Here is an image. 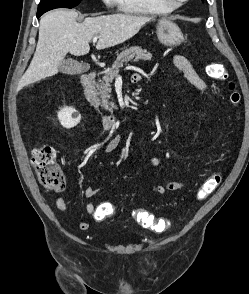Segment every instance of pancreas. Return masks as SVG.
Segmentation results:
<instances>
[{"label": "pancreas", "instance_id": "1", "mask_svg": "<svg viewBox=\"0 0 249 294\" xmlns=\"http://www.w3.org/2000/svg\"><path fill=\"white\" fill-rule=\"evenodd\" d=\"M132 59L138 60H151L152 54L141 47H130L124 50L121 54L118 55L117 59L113 63L112 67L107 69L104 72V76L97 82V93L100 95L102 101V107L105 110L110 112L113 109H117V106L112 102L109 101L111 98V83L113 82L114 78L118 75L119 69L123 67L125 62H128Z\"/></svg>", "mask_w": 249, "mask_h": 294}]
</instances>
